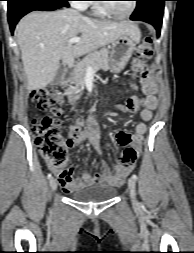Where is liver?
<instances>
[{
    "mask_svg": "<svg viewBox=\"0 0 194 253\" xmlns=\"http://www.w3.org/2000/svg\"><path fill=\"white\" fill-rule=\"evenodd\" d=\"M126 34L137 39L140 30L131 22L90 19L72 9L29 13L15 29L27 76V90L42 89L51 83L60 60L72 68L77 57ZM78 35H81L80 42L68 44L69 39Z\"/></svg>",
    "mask_w": 194,
    "mask_h": 253,
    "instance_id": "liver-1",
    "label": "liver"
}]
</instances>
